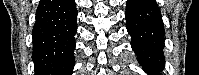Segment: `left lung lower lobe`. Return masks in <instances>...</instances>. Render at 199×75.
Returning a JSON list of instances; mask_svg holds the SVG:
<instances>
[{
	"label": "left lung lower lobe",
	"mask_w": 199,
	"mask_h": 75,
	"mask_svg": "<svg viewBox=\"0 0 199 75\" xmlns=\"http://www.w3.org/2000/svg\"><path fill=\"white\" fill-rule=\"evenodd\" d=\"M125 17L138 62L150 75H160L165 66V31L157 3L155 0H127Z\"/></svg>",
	"instance_id": "obj_1"
}]
</instances>
